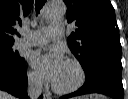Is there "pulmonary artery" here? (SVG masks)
I'll return each instance as SVG.
<instances>
[{"label": "pulmonary artery", "mask_w": 128, "mask_h": 99, "mask_svg": "<svg viewBox=\"0 0 128 99\" xmlns=\"http://www.w3.org/2000/svg\"><path fill=\"white\" fill-rule=\"evenodd\" d=\"M64 32L62 23H53L48 27L33 31L30 35L25 36L21 44L42 45L58 39Z\"/></svg>", "instance_id": "obj_1"}]
</instances>
